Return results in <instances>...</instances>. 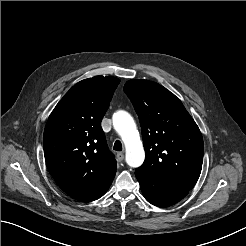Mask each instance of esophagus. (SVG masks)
Instances as JSON below:
<instances>
[{"instance_id":"esophagus-1","label":"esophagus","mask_w":246,"mask_h":246,"mask_svg":"<svg viewBox=\"0 0 246 246\" xmlns=\"http://www.w3.org/2000/svg\"><path fill=\"white\" fill-rule=\"evenodd\" d=\"M124 159V154L122 152L117 153V160L119 162H122Z\"/></svg>"}]
</instances>
